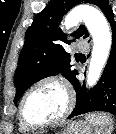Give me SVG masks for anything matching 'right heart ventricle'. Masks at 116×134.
Masks as SVG:
<instances>
[{"label": "right heart ventricle", "instance_id": "1", "mask_svg": "<svg viewBox=\"0 0 116 134\" xmlns=\"http://www.w3.org/2000/svg\"><path fill=\"white\" fill-rule=\"evenodd\" d=\"M19 129H20L21 132H28V131H30V128H28L24 124H22L21 121H19Z\"/></svg>", "mask_w": 116, "mask_h": 134}]
</instances>
